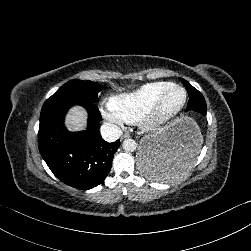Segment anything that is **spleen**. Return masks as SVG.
<instances>
[{"label":"spleen","instance_id":"spleen-1","mask_svg":"<svg viewBox=\"0 0 251 251\" xmlns=\"http://www.w3.org/2000/svg\"><path fill=\"white\" fill-rule=\"evenodd\" d=\"M193 154L194 153L186 154L184 159L180 161L177 169L178 174H171L168 167H165L162 164L153 163L149 164V175L147 177L157 181L176 179L189 170L194 164V159L192 158Z\"/></svg>","mask_w":251,"mask_h":251}]
</instances>
